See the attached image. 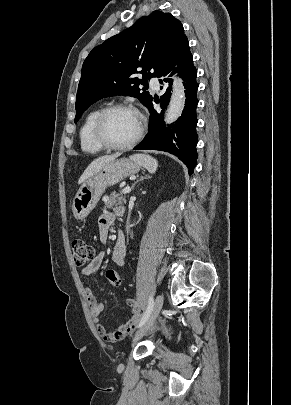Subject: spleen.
Instances as JSON below:
<instances>
[{"label": "spleen", "mask_w": 291, "mask_h": 405, "mask_svg": "<svg viewBox=\"0 0 291 405\" xmlns=\"http://www.w3.org/2000/svg\"><path fill=\"white\" fill-rule=\"evenodd\" d=\"M131 158L141 166L145 167L150 173H155L158 167V162L155 158L146 154H135Z\"/></svg>", "instance_id": "spleen-1"}]
</instances>
